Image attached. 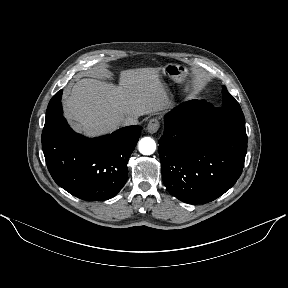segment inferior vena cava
<instances>
[{
	"label": "inferior vena cava",
	"instance_id": "obj_1",
	"mask_svg": "<svg viewBox=\"0 0 288 288\" xmlns=\"http://www.w3.org/2000/svg\"><path fill=\"white\" fill-rule=\"evenodd\" d=\"M138 123V119L136 117H127L123 121V125H136Z\"/></svg>",
	"mask_w": 288,
	"mask_h": 288
}]
</instances>
